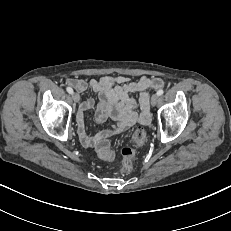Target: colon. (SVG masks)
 Returning a JSON list of instances; mask_svg holds the SVG:
<instances>
[{"mask_svg": "<svg viewBox=\"0 0 231 231\" xmlns=\"http://www.w3.org/2000/svg\"><path fill=\"white\" fill-rule=\"evenodd\" d=\"M146 140V130L142 126H138L132 135L133 148L125 147L121 150L122 164L120 169L123 173H130L133 170L136 149L142 147L146 143ZM96 150L99 157L103 160H110L114 156V152L106 139L97 144Z\"/></svg>", "mask_w": 231, "mask_h": 231, "instance_id": "colon-1", "label": "colon"}]
</instances>
